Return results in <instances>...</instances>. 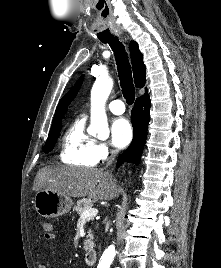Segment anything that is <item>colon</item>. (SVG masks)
I'll list each match as a JSON object with an SVG mask.
<instances>
[{
  "instance_id": "5ec220e1",
  "label": "colon",
  "mask_w": 221,
  "mask_h": 268,
  "mask_svg": "<svg viewBox=\"0 0 221 268\" xmlns=\"http://www.w3.org/2000/svg\"><path fill=\"white\" fill-rule=\"evenodd\" d=\"M41 226L45 232H49L53 228L52 224L46 220L42 221Z\"/></svg>"
}]
</instances>
